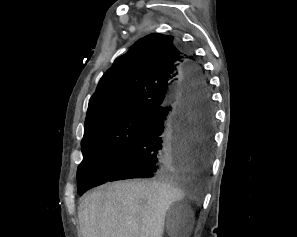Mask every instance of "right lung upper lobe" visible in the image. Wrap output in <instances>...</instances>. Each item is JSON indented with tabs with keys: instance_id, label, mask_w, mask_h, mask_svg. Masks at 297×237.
Returning a JSON list of instances; mask_svg holds the SVG:
<instances>
[{
	"instance_id": "1",
	"label": "right lung upper lobe",
	"mask_w": 297,
	"mask_h": 237,
	"mask_svg": "<svg viewBox=\"0 0 297 237\" xmlns=\"http://www.w3.org/2000/svg\"><path fill=\"white\" fill-rule=\"evenodd\" d=\"M190 55L172 36L151 34L120 56L100 79L89 101L85 128L114 116L155 112L186 80Z\"/></svg>"
}]
</instances>
